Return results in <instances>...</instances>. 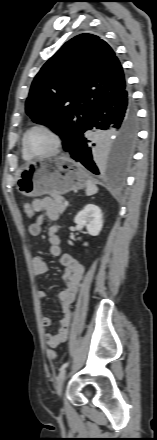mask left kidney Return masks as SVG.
Segmentation results:
<instances>
[{
  "mask_svg": "<svg viewBox=\"0 0 157 440\" xmlns=\"http://www.w3.org/2000/svg\"><path fill=\"white\" fill-rule=\"evenodd\" d=\"M74 222L86 226L89 235L97 236L103 226L102 211L98 206L88 204L75 216ZM69 244L72 245V242L69 241ZM84 245L88 244L84 243Z\"/></svg>",
  "mask_w": 157,
  "mask_h": 440,
  "instance_id": "left-kidney-1",
  "label": "left kidney"
}]
</instances>
